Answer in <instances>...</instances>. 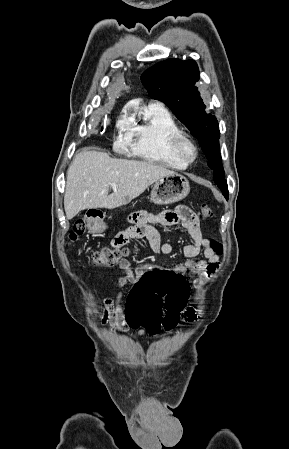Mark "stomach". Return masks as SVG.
Listing matches in <instances>:
<instances>
[{"instance_id":"1","label":"stomach","mask_w":289,"mask_h":449,"mask_svg":"<svg viewBox=\"0 0 289 449\" xmlns=\"http://www.w3.org/2000/svg\"><path fill=\"white\" fill-rule=\"evenodd\" d=\"M190 192L189 181L180 174L163 177L155 182L150 201L154 204H172L184 199ZM87 228L91 233H102L106 224L102 218L90 217L87 220Z\"/></svg>"}]
</instances>
